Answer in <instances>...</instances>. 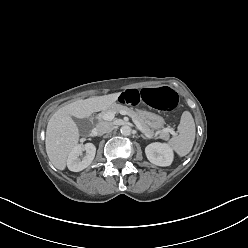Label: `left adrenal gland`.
I'll list each match as a JSON object with an SVG mask.
<instances>
[{
    "instance_id": "obj_1",
    "label": "left adrenal gland",
    "mask_w": 248,
    "mask_h": 248,
    "mask_svg": "<svg viewBox=\"0 0 248 248\" xmlns=\"http://www.w3.org/2000/svg\"><path fill=\"white\" fill-rule=\"evenodd\" d=\"M141 137H142V138H144V139H146V138H147V137H146L145 135H143V134H141Z\"/></svg>"
}]
</instances>
